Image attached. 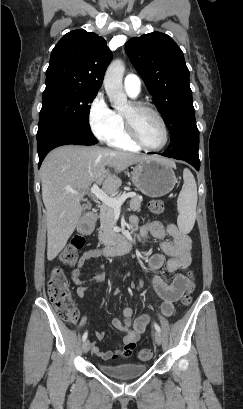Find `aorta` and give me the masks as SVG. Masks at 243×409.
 Listing matches in <instances>:
<instances>
[{"label": "aorta", "mask_w": 243, "mask_h": 409, "mask_svg": "<svg viewBox=\"0 0 243 409\" xmlns=\"http://www.w3.org/2000/svg\"><path fill=\"white\" fill-rule=\"evenodd\" d=\"M124 71V63L117 59L109 65L104 77L105 91L111 106L115 109H121L127 104V96L123 91L122 82Z\"/></svg>", "instance_id": "obj_1"}]
</instances>
